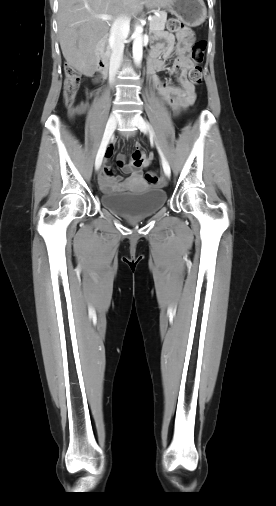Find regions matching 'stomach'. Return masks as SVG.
<instances>
[{
  "label": "stomach",
  "instance_id": "1",
  "mask_svg": "<svg viewBox=\"0 0 276 506\" xmlns=\"http://www.w3.org/2000/svg\"><path fill=\"white\" fill-rule=\"evenodd\" d=\"M167 10L190 26H198L206 19L203 0H171Z\"/></svg>",
  "mask_w": 276,
  "mask_h": 506
}]
</instances>
